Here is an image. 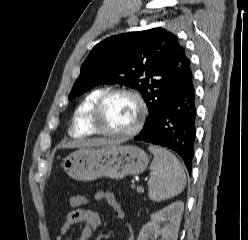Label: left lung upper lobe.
<instances>
[{
	"label": "left lung upper lobe",
	"instance_id": "obj_1",
	"mask_svg": "<svg viewBox=\"0 0 248 240\" xmlns=\"http://www.w3.org/2000/svg\"><path fill=\"white\" fill-rule=\"evenodd\" d=\"M192 79L190 60L177 36L153 28L112 36L97 44L82 64L69 99L103 83L137 89L149 111L145 127L168 97Z\"/></svg>",
	"mask_w": 248,
	"mask_h": 240
}]
</instances>
